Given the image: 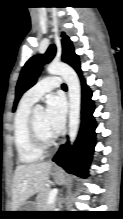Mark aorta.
I'll list each match as a JSON object with an SVG mask.
<instances>
[{"instance_id": "obj_1", "label": "aorta", "mask_w": 123, "mask_h": 219, "mask_svg": "<svg viewBox=\"0 0 123 219\" xmlns=\"http://www.w3.org/2000/svg\"><path fill=\"white\" fill-rule=\"evenodd\" d=\"M47 72L51 75H60L68 86L69 95V139L73 145L80 123V103L81 90L78 76L74 69L69 65L61 62H52L47 67ZM35 112H42L43 106L36 105Z\"/></svg>"}]
</instances>
